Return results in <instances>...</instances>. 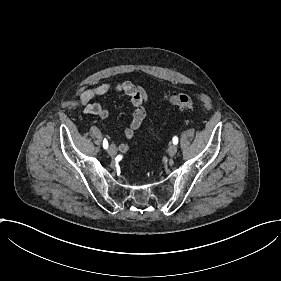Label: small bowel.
<instances>
[{"label":"small bowel","mask_w":281,"mask_h":281,"mask_svg":"<svg viewBox=\"0 0 281 281\" xmlns=\"http://www.w3.org/2000/svg\"><path fill=\"white\" fill-rule=\"evenodd\" d=\"M110 90L111 85L109 83H102L93 88L82 89L80 92V101L83 111L88 114L98 116L102 120L108 119L110 115L109 110L98 103H91V100L97 97L105 96ZM114 91L128 96L130 104L133 108L131 125L124 132V136L127 139H131L134 136V131L141 126L146 115V93L141 86L128 81L115 85ZM119 150H127V145L125 143L120 144Z\"/></svg>","instance_id":"small-bowel-1"}]
</instances>
